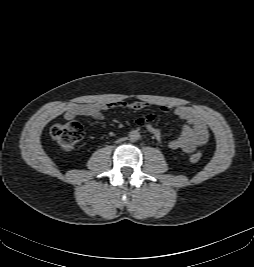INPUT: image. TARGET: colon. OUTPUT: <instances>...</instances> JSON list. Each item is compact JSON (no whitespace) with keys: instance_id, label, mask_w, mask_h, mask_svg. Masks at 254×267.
Here are the masks:
<instances>
[{"instance_id":"obj_1","label":"colon","mask_w":254,"mask_h":267,"mask_svg":"<svg viewBox=\"0 0 254 267\" xmlns=\"http://www.w3.org/2000/svg\"><path fill=\"white\" fill-rule=\"evenodd\" d=\"M50 137L61 151L70 152L76 144L83 138L84 130L81 124L69 122L65 124H55L50 128ZM202 159L200 152L191 154L190 161L197 163Z\"/></svg>"}]
</instances>
